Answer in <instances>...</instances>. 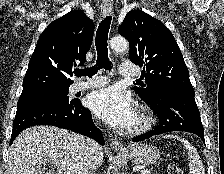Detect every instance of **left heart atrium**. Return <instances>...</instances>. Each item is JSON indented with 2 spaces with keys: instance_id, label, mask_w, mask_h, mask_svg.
<instances>
[{
  "instance_id": "left-heart-atrium-1",
  "label": "left heart atrium",
  "mask_w": 224,
  "mask_h": 174,
  "mask_svg": "<svg viewBox=\"0 0 224 174\" xmlns=\"http://www.w3.org/2000/svg\"><path fill=\"white\" fill-rule=\"evenodd\" d=\"M87 103L100 119L116 128L130 127L137 114L131 97L115 86L91 93Z\"/></svg>"
}]
</instances>
